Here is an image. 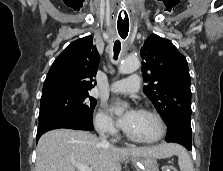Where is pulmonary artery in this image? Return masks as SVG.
<instances>
[{
	"instance_id": "1",
	"label": "pulmonary artery",
	"mask_w": 223,
	"mask_h": 171,
	"mask_svg": "<svg viewBox=\"0 0 223 171\" xmlns=\"http://www.w3.org/2000/svg\"><path fill=\"white\" fill-rule=\"evenodd\" d=\"M140 89V77L136 74L122 80L113 82L110 85V91L119 94H132Z\"/></svg>"
}]
</instances>
